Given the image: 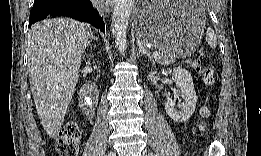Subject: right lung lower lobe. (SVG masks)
<instances>
[{
    "mask_svg": "<svg viewBox=\"0 0 261 156\" xmlns=\"http://www.w3.org/2000/svg\"><path fill=\"white\" fill-rule=\"evenodd\" d=\"M48 16L70 17L105 31L103 19L90 0H35L30 13V27Z\"/></svg>",
    "mask_w": 261,
    "mask_h": 156,
    "instance_id": "right-lung-lower-lobe-1",
    "label": "right lung lower lobe"
}]
</instances>
